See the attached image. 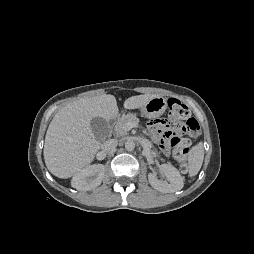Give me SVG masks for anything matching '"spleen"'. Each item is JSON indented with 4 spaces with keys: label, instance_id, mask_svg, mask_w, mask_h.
I'll return each mask as SVG.
<instances>
[{
    "label": "spleen",
    "instance_id": "spleen-1",
    "mask_svg": "<svg viewBox=\"0 0 254 254\" xmlns=\"http://www.w3.org/2000/svg\"><path fill=\"white\" fill-rule=\"evenodd\" d=\"M204 160L203 143L199 142L193 146L188 154V173L190 177L198 174Z\"/></svg>",
    "mask_w": 254,
    "mask_h": 254
}]
</instances>
